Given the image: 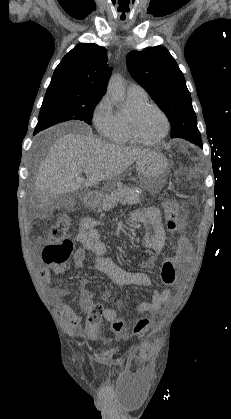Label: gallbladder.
Returning a JSON list of instances; mask_svg holds the SVG:
<instances>
[{"instance_id":"obj_1","label":"gallbladder","mask_w":231,"mask_h":419,"mask_svg":"<svg viewBox=\"0 0 231 419\" xmlns=\"http://www.w3.org/2000/svg\"><path fill=\"white\" fill-rule=\"evenodd\" d=\"M72 197V195H64L63 197L49 194L44 196L43 199L40 201L41 205L48 207L50 210L51 207H58V206H67L68 199Z\"/></svg>"}]
</instances>
